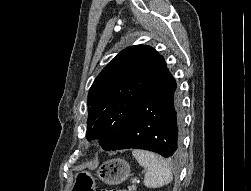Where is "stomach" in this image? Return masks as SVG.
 <instances>
[{"label":"stomach","instance_id":"stomach-1","mask_svg":"<svg viewBox=\"0 0 251 191\" xmlns=\"http://www.w3.org/2000/svg\"><path fill=\"white\" fill-rule=\"evenodd\" d=\"M96 175L105 183L115 185V183H121L129 177L130 165L128 161L121 159V157L108 159V161L101 163ZM72 189L73 191H96L95 177L89 171H77Z\"/></svg>","mask_w":251,"mask_h":191}]
</instances>
